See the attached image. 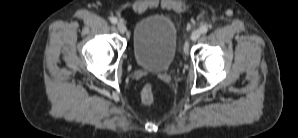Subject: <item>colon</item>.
<instances>
[{
  "mask_svg": "<svg viewBox=\"0 0 298 138\" xmlns=\"http://www.w3.org/2000/svg\"><path fill=\"white\" fill-rule=\"evenodd\" d=\"M141 99H142V102L147 105H150L154 102L155 93L151 85L144 86L141 92Z\"/></svg>",
  "mask_w": 298,
  "mask_h": 138,
  "instance_id": "colon-1",
  "label": "colon"
}]
</instances>
